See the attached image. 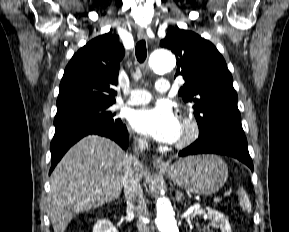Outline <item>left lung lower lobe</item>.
I'll return each mask as SVG.
<instances>
[{
  "instance_id": "left-lung-lower-lobe-1",
  "label": "left lung lower lobe",
  "mask_w": 289,
  "mask_h": 232,
  "mask_svg": "<svg viewBox=\"0 0 289 232\" xmlns=\"http://www.w3.org/2000/svg\"><path fill=\"white\" fill-rule=\"evenodd\" d=\"M196 154H222L245 163L253 171L243 129H222L199 137L194 143L179 152L185 157Z\"/></svg>"
}]
</instances>
